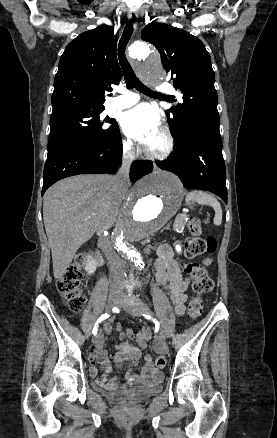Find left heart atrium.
Returning a JSON list of instances; mask_svg holds the SVG:
<instances>
[{
    "mask_svg": "<svg viewBox=\"0 0 277 438\" xmlns=\"http://www.w3.org/2000/svg\"><path fill=\"white\" fill-rule=\"evenodd\" d=\"M121 126L145 151H148L149 145L161 131L160 118L148 104L139 105L124 113Z\"/></svg>",
    "mask_w": 277,
    "mask_h": 438,
    "instance_id": "left-heart-atrium-1",
    "label": "left heart atrium"
}]
</instances>
